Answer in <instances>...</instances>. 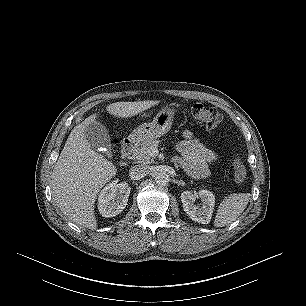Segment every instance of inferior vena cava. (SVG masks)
<instances>
[{
	"label": "inferior vena cava",
	"mask_w": 306,
	"mask_h": 306,
	"mask_svg": "<svg viewBox=\"0 0 306 306\" xmlns=\"http://www.w3.org/2000/svg\"><path fill=\"white\" fill-rule=\"evenodd\" d=\"M150 173L147 165H135L130 168L129 175L132 179H141Z\"/></svg>",
	"instance_id": "1"
}]
</instances>
